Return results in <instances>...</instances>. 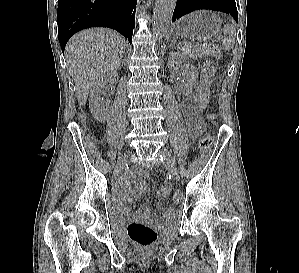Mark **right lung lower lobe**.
Returning a JSON list of instances; mask_svg holds the SVG:
<instances>
[{
  "label": "right lung lower lobe",
  "instance_id": "1",
  "mask_svg": "<svg viewBox=\"0 0 299 273\" xmlns=\"http://www.w3.org/2000/svg\"><path fill=\"white\" fill-rule=\"evenodd\" d=\"M137 0H59L58 36L64 52L69 38L90 27L117 30L132 41Z\"/></svg>",
  "mask_w": 299,
  "mask_h": 273
}]
</instances>
